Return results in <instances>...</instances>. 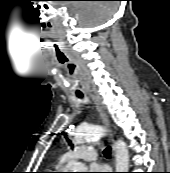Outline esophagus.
Listing matches in <instances>:
<instances>
[{
  "label": "esophagus",
  "mask_w": 170,
  "mask_h": 173,
  "mask_svg": "<svg viewBox=\"0 0 170 173\" xmlns=\"http://www.w3.org/2000/svg\"><path fill=\"white\" fill-rule=\"evenodd\" d=\"M91 97L93 99V101L95 102L96 106H97V110L98 112L100 113V116L102 118V121L103 123L109 127V120H108V117L104 111V109L102 108V106L99 104L97 98L91 94ZM110 141H111V144H112V154L114 155V151H115V147H114V139H113V136L112 134H110Z\"/></svg>",
  "instance_id": "34e87169"
}]
</instances>
